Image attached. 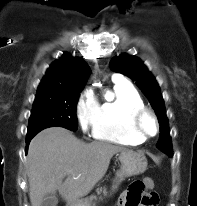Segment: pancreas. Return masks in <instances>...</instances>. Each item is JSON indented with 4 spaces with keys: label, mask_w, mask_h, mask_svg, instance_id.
<instances>
[{
    "label": "pancreas",
    "mask_w": 197,
    "mask_h": 206,
    "mask_svg": "<svg viewBox=\"0 0 197 206\" xmlns=\"http://www.w3.org/2000/svg\"><path fill=\"white\" fill-rule=\"evenodd\" d=\"M101 191H102V190L100 189V190H98L97 192L100 193ZM92 198H95V197H92Z\"/></svg>",
    "instance_id": "1"
}]
</instances>
